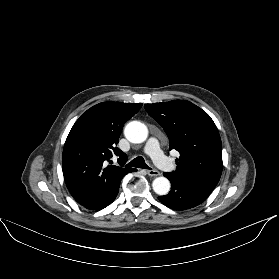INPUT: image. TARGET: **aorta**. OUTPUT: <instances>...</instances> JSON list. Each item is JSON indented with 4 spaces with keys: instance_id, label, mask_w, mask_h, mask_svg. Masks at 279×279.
Returning <instances> with one entry per match:
<instances>
[{
    "instance_id": "762f6f07",
    "label": "aorta",
    "mask_w": 279,
    "mask_h": 279,
    "mask_svg": "<svg viewBox=\"0 0 279 279\" xmlns=\"http://www.w3.org/2000/svg\"><path fill=\"white\" fill-rule=\"evenodd\" d=\"M125 137L132 143H142L148 137V129L139 121L129 122L124 129ZM153 190L158 195H166L170 191V181L166 177H157L152 183Z\"/></svg>"
}]
</instances>
